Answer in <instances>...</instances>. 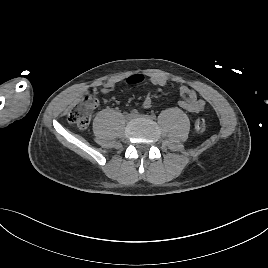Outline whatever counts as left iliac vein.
Masks as SVG:
<instances>
[{"label": "left iliac vein", "instance_id": "obj_1", "mask_svg": "<svg viewBox=\"0 0 268 268\" xmlns=\"http://www.w3.org/2000/svg\"><path fill=\"white\" fill-rule=\"evenodd\" d=\"M135 117H138V118H144V119H148V118H150L148 115H144V114H138V115H136Z\"/></svg>", "mask_w": 268, "mask_h": 268}]
</instances>
